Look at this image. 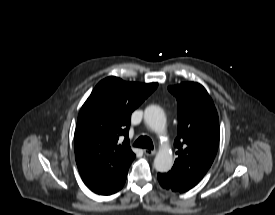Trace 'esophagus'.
I'll return each instance as SVG.
<instances>
[{"label":"esophagus","mask_w":275,"mask_h":215,"mask_svg":"<svg viewBox=\"0 0 275 215\" xmlns=\"http://www.w3.org/2000/svg\"><path fill=\"white\" fill-rule=\"evenodd\" d=\"M143 152L146 156H154L156 154V150H150V149H144Z\"/></svg>","instance_id":"esophagus-1"}]
</instances>
